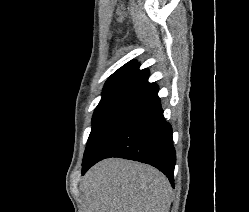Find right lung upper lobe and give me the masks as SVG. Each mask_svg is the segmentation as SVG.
<instances>
[{
	"label": "right lung upper lobe",
	"instance_id": "1",
	"mask_svg": "<svg viewBox=\"0 0 249 212\" xmlns=\"http://www.w3.org/2000/svg\"><path fill=\"white\" fill-rule=\"evenodd\" d=\"M140 64L132 60L114 72L103 88L102 96L112 94H129L137 97L158 89L156 83H149V70L139 69Z\"/></svg>",
	"mask_w": 249,
	"mask_h": 212
}]
</instances>
